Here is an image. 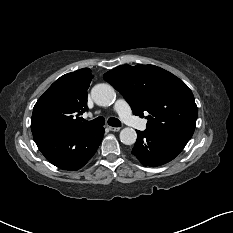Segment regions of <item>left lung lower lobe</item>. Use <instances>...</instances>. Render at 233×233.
<instances>
[{"label":"left lung lower lobe","mask_w":233,"mask_h":233,"mask_svg":"<svg viewBox=\"0 0 233 233\" xmlns=\"http://www.w3.org/2000/svg\"><path fill=\"white\" fill-rule=\"evenodd\" d=\"M137 131V141L132 154L144 166H160L173 160L185 147L188 138L146 129Z\"/></svg>","instance_id":"1"}]
</instances>
